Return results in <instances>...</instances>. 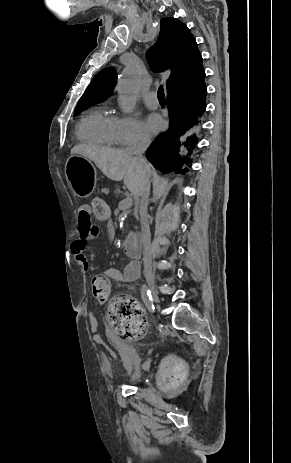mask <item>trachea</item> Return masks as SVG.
Segmentation results:
<instances>
[{
    "instance_id": "trachea-1",
    "label": "trachea",
    "mask_w": 291,
    "mask_h": 463,
    "mask_svg": "<svg viewBox=\"0 0 291 463\" xmlns=\"http://www.w3.org/2000/svg\"><path fill=\"white\" fill-rule=\"evenodd\" d=\"M157 96L160 102H165V95H164V90L162 86L159 87Z\"/></svg>"
}]
</instances>
